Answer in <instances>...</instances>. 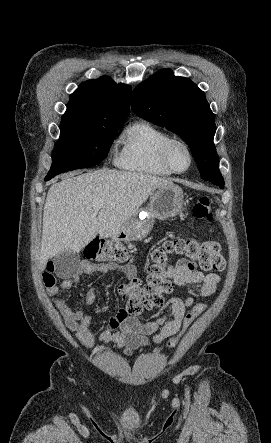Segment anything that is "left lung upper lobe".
<instances>
[{"label": "left lung upper lobe", "mask_w": 271, "mask_h": 443, "mask_svg": "<svg viewBox=\"0 0 271 443\" xmlns=\"http://www.w3.org/2000/svg\"><path fill=\"white\" fill-rule=\"evenodd\" d=\"M131 107L141 118L180 135L191 148L201 177L224 187L213 144L214 114L195 83L169 69L160 70L135 87Z\"/></svg>", "instance_id": "1"}]
</instances>
